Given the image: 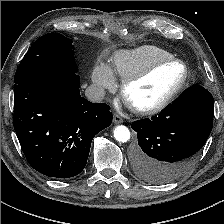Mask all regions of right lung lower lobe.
Wrapping results in <instances>:
<instances>
[{
    "mask_svg": "<svg viewBox=\"0 0 224 224\" xmlns=\"http://www.w3.org/2000/svg\"><path fill=\"white\" fill-rule=\"evenodd\" d=\"M76 73L47 71L14 90L13 125L23 153L38 172L54 178L78 175L94 136L111 125L105 103L81 97Z\"/></svg>",
    "mask_w": 224,
    "mask_h": 224,
    "instance_id": "98d812e1",
    "label": "right lung lower lobe"
}]
</instances>
